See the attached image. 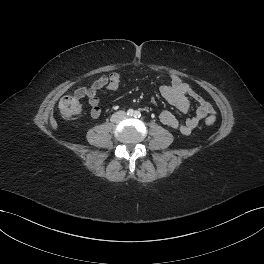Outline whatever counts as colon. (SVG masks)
I'll return each mask as SVG.
<instances>
[{"label":"colon","mask_w":264,"mask_h":264,"mask_svg":"<svg viewBox=\"0 0 264 264\" xmlns=\"http://www.w3.org/2000/svg\"><path fill=\"white\" fill-rule=\"evenodd\" d=\"M84 91H79L73 95L64 96L59 102L60 113L66 118H73L77 116L81 111V105L79 98ZM206 124L211 126L215 123V117L209 116L206 119Z\"/></svg>","instance_id":"obj_1"}]
</instances>
